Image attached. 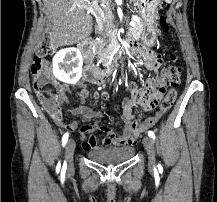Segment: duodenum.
I'll return each mask as SVG.
<instances>
[{
	"label": "duodenum",
	"instance_id": "410a0bca",
	"mask_svg": "<svg viewBox=\"0 0 217 202\" xmlns=\"http://www.w3.org/2000/svg\"><path fill=\"white\" fill-rule=\"evenodd\" d=\"M91 48H92V44L90 42L85 43L82 46V51L86 58V65L83 72V80L91 84L99 85L105 82L112 75V71L100 70L93 64L91 58ZM136 52H137L136 44H132L131 56H134Z\"/></svg>",
	"mask_w": 217,
	"mask_h": 202
}]
</instances>
